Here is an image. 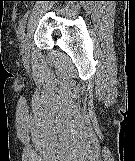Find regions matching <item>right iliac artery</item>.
I'll list each match as a JSON object with an SVG mask.
<instances>
[{
	"label": "right iliac artery",
	"mask_w": 135,
	"mask_h": 161,
	"mask_svg": "<svg viewBox=\"0 0 135 161\" xmlns=\"http://www.w3.org/2000/svg\"><path fill=\"white\" fill-rule=\"evenodd\" d=\"M26 17L27 15L20 21L19 27H18V34L20 39L24 36L25 26H26Z\"/></svg>",
	"instance_id": "right-iliac-artery-1"
}]
</instances>
